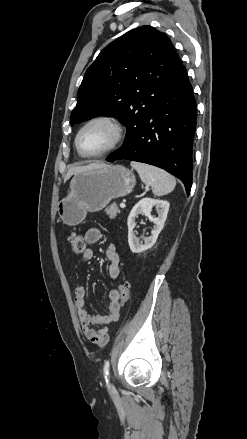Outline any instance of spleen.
<instances>
[{"label": "spleen", "mask_w": 247, "mask_h": 439, "mask_svg": "<svg viewBox=\"0 0 247 439\" xmlns=\"http://www.w3.org/2000/svg\"><path fill=\"white\" fill-rule=\"evenodd\" d=\"M130 165L138 172L141 180L152 187L155 196L166 195L176 186L175 178L163 169L136 161H132Z\"/></svg>", "instance_id": "3e777b00"}]
</instances>
